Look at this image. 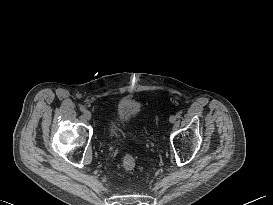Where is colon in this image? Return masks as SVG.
<instances>
[{"instance_id":"obj_1","label":"colon","mask_w":273,"mask_h":205,"mask_svg":"<svg viewBox=\"0 0 273 205\" xmlns=\"http://www.w3.org/2000/svg\"><path fill=\"white\" fill-rule=\"evenodd\" d=\"M122 167L125 171H132L135 167L134 157L130 154H126L122 161Z\"/></svg>"}]
</instances>
